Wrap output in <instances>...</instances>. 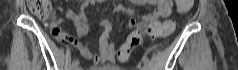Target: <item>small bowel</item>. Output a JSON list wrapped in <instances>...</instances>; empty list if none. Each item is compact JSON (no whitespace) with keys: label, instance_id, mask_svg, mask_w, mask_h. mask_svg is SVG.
Returning a JSON list of instances; mask_svg holds the SVG:
<instances>
[{"label":"small bowel","instance_id":"small-bowel-1","mask_svg":"<svg viewBox=\"0 0 238 70\" xmlns=\"http://www.w3.org/2000/svg\"><path fill=\"white\" fill-rule=\"evenodd\" d=\"M90 2H93V0L86 1L85 4H88ZM136 3H148L152 5H156V9L147 15H144L142 17V20L144 19H159L166 18L171 14L173 4L176 2L172 0H136ZM122 12L127 14L129 17L128 20V27L131 28L134 24V20L132 18V12L127 9H120ZM183 13V12H182ZM65 15L69 19L77 20L78 26H79V33L80 38H85L88 35V25L86 23V20L83 15H81L80 19H77L75 14L71 11H66ZM50 27L52 29L53 36L60 42L73 45L75 48L79 50L81 55L87 59L92 60L98 67H107L105 63H114L116 60V57L119 54V49L113 44L109 43V35L112 31V24L109 20L104 19L101 21V34L98 39V51L94 52L92 51L87 44H84L80 38H73L69 36L63 28L60 26L58 21H53L50 24ZM57 28L60 30V33H54L53 30ZM124 60V59H120ZM94 67V68H98Z\"/></svg>","mask_w":238,"mask_h":70}]
</instances>
